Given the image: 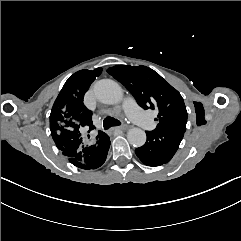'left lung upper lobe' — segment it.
<instances>
[{
    "label": "left lung upper lobe",
    "mask_w": 241,
    "mask_h": 241,
    "mask_svg": "<svg viewBox=\"0 0 241 241\" xmlns=\"http://www.w3.org/2000/svg\"><path fill=\"white\" fill-rule=\"evenodd\" d=\"M107 72L126 87L143 109H158L157 128L179 127L187 122L182 96L153 69L117 65Z\"/></svg>",
    "instance_id": "obj_1"
}]
</instances>
